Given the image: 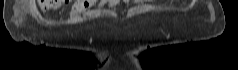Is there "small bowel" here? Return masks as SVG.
Returning <instances> with one entry per match:
<instances>
[{"mask_svg":"<svg viewBox=\"0 0 238 70\" xmlns=\"http://www.w3.org/2000/svg\"><path fill=\"white\" fill-rule=\"evenodd\" d=\"M123 2L127 5L130 3L129 0H123ZM119 3H120V0H101L98 3V7L101 8L105 5H107L109 7H113V6L118 5ZM90 4H91L90 0H78V1H76V3L74 4V6L71 10V15H75V14L81 12L83 9L88 7Z\"/></svg>","mask_w":238,"mask_h":70,"instance_id":"c3829d8e","label":"small bowel"}]
</instances>
